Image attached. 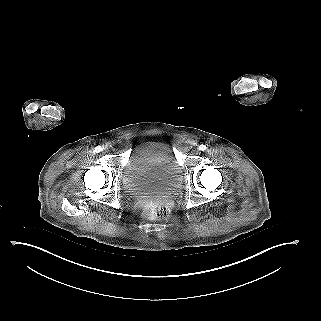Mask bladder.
I'll return each instance as SVG.
<instances>
[{"label": "bladder", "mask_w": 321, "mask_h": 321, "mask_svg": "<svg viewBox=\"0 0 321 321\" xmlns=\"http://www.w3.org/2000/svg\"><path fill=\"white\" fill-rule=\"evenodd\" d=\"M182 168L172 146L164 141L138 143L122 170V187L134 197L165 195L182 183Z\"/></svg>", "instance_id": "31cf9c89"}]
</instances>
